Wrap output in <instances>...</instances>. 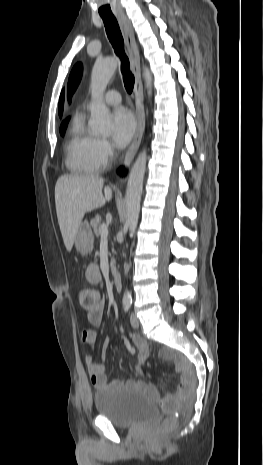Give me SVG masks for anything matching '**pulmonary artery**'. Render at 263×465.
Returning <instances> with one entry per match:
<instances>
[{
    "label": "pulmonary artery",
    "instance_id": "e3ab8cb5",
    "mask_svg": "<svg viewBox=\"0 0 263 465\" xmlns=\"http://www.w3.org/2000/svg\"><path fill=\"white\" fill-rule=\"evenodd\" d=\"M104 100L107 104L117 105L121 102V96L119 92L115 90H109L105 93Z\"/></svg>",
    "mask_w": 263,
    "mask_h": 465
}]
</instances>
